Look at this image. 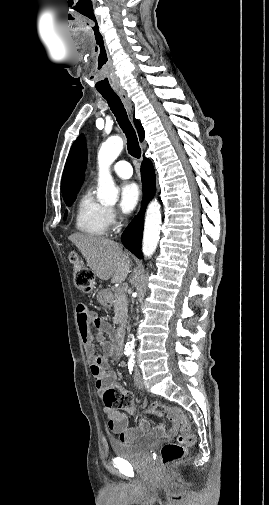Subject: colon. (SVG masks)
I'll list each match as a JSON object with an SVG mask.
<instances>
[{
	"label": "colon",
	"instance_id": "1",
	"mask_svg": "<svg viewBox=\"0 0 269 505\" xmlns=\"http://www.w3.org/2000/svg\"><path fill=\"white\" fill-rule=\"evenodd\" d=\"M71 262L75 286L82 293H91L95 286L94 274L74 254L71 255ZM103 402L108 408H120L128 412L135 410L132 394L124 392L118 385H113L104 391ZM149 411L158 416L169 414L180 425L182 434L176 441L165 444L161 449L163 464L170 465L178 462L186 455L187 447L194 441V437L189 433L190 423L187 416L177 408L164 405H154L149 408Z\"/></svg>",
	"mask_w": 269,
	"mask_h": 505
}]
</instances>
